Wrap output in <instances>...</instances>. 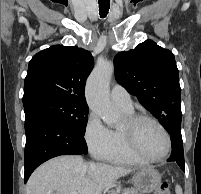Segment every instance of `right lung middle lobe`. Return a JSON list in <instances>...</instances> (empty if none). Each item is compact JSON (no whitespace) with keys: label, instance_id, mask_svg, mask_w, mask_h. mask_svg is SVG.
Returning <instances> with one entry per match:
<instances>
[{"label":"right lung middle lobe","instance_id":"dd1d6c3e","mask_svg":"<svg viewBox=\"0 0 201 194\" xmlns=\"http://www.w3.org/2000/svg\"><path fill=\"white\" fill-rule=\"evenodd\" d=\"M25 114L40 111L49 114L69 125L84 136L88 120V108L75 102L58 97H40L23 103Z\"/></svg>","mask_w":201,"mask_h":194}]
</instances>
